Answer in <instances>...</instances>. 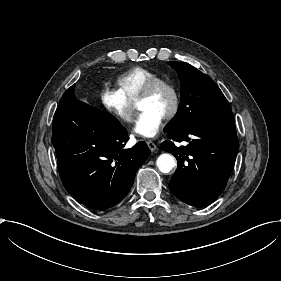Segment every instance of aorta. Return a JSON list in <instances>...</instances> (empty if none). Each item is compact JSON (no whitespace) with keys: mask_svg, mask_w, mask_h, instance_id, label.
<instances>
[{"mask_svg":"<svg viewBox=\"0 0 281 281\" xmlns=\"http://www.w3.org/2000/svg\"><path fill=\"white\" fill-rule=\"evenodd\" d=\"M156 165L162 173H169L176 166V160L171 154L163 153L157 158Z\"/></svg>","mask_w":281,"mask_h":281,"instance_id":"1","label":"aorta"}]
</instances>
